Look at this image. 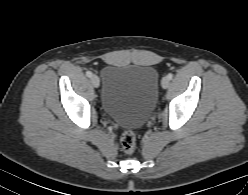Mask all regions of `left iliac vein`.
I'll list each match as a JSON object with an SVG mask.
<instances>
[{"label": "left iliac vein", "mask_w": 248, "mask_h": 195, "mask_svg": "<svg viewBox=\"0 0 248 195\" xmlns=\"http://www.w3.org/2000/svg\"><path fill=\"white\" fill-rule=\"evenodd\" d=\"M169 84H170V80L168 79V77L167 76L163 77L161 81V86L166 89L169 86Z\"/></svg>", "instance_id": "4c4485c4"}]
</instances>
